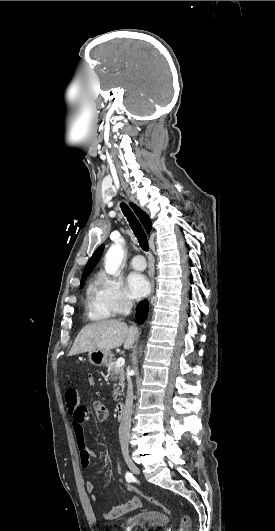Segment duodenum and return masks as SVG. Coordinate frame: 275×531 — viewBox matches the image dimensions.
Listing matches in <instances>:
<instances>
[{"mask_svg": "<svg viewBox=\"0 0 275 531\" xmlns=\"http://www.w3.org/2000/svg\"><path fill=\"white\" fill-rule=\"evenodd\" d=\"M116 409H117V414H118V417L119 418H123L124 415H125V403H119L117 406H116Z\"/></svg>", "mask_w": 275, "mask_h": 531, "instance_id": "410a0bca", "label": "duodenum"}]
</instances>
